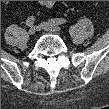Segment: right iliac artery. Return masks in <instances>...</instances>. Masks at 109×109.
<instances>
[{
    "label": "right iliac artery",
    "mask_w": 109,
    "mask_h": 109,
    "mask_svg": "<svg viewBox=\"0 0 109 109\" xmlns=\"http://www.w3.org/2000/svg\"><path fill=\"white\" fill-rule=\"evenodd\" d=\"M35 18L34 16H29L26 20V25L31 27L34 24Z\"/></svg>",
    "instance_id": "82829eb1"
}]
</instances>
